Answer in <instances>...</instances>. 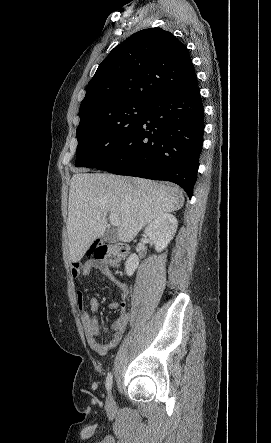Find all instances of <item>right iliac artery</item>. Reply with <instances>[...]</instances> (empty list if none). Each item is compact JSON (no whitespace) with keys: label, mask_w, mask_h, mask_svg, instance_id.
I'll list each match as a JSON object with an SVG mask.
<instances>
[{"label":"right iliac artery","mask_w":271,"mask_h":443,"mask_svg":"<svg viewBox=\"0 0 271 443\" xmlns=\"http://www.w3.org/2000/svg\"><path fill=\"white\" fill-rule=\"evenodd\" d=\"M112 382H113V376L111 373H108L107 378H106V389L108 392L111 391Z\"/></svg>","instance_id":"1"}]
</instances>
